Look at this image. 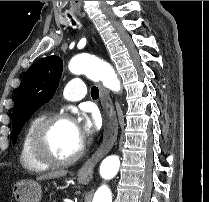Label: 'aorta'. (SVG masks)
<instances>
[{
    "mask_svg": "<svg viewBox=\"0 0 209 202\" xmlns=\"http://www.w3.org/2000/svg\"><path fill=\"white\" fill-rule=\"evenodd\" d=\"M73 74H84L88 78L101 81L103 85L114 92L121 89L120 81L112 66L87 54L74 56L68 65ZM120 168V160L117 155L106 157L100 165V175L109 180L115 177ZM92 202H112L111 190L106 186H100L94 194Z\"/></svg>",
    "mask_w": 209,
    "mask_h": 202,
    "instance_id": "obj_1",
    "label": "aorta"
}]
</instances>
